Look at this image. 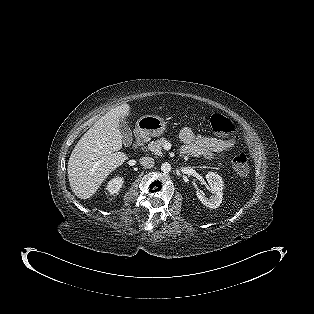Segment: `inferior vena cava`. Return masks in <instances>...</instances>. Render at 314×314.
I'll return each mask as SVG.
<instances>
[{
  "label": "inferior vena cava",
  "instance_id": "inferior-vena-cava-1",
  "mask_svg": "<svg viewBox=\"0 0 314 314\" xmlns=\"http://www.w3.org/2000/svg\"><path fill=\"white\" fill-rule=\"evenodd\" d=\"M140 164L145 168L150 169L154 166L155 162L154 159L151 157H142L140 159Z\"/></svg>",
  "mask_w": 314,
  "mask_h": 314
}]
</instances>
